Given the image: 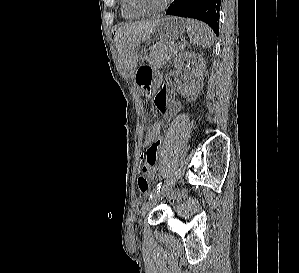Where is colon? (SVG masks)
<instances>
[{
    "label": "colon",
    "instance_id": "colon-1",
    "mask_svg": "<svg viewBox=\"0 0 299 273\" xmlns=\"http://www.w3.org/2000/svg\"><path fill=\"white\" fill-rule=\"evenodd\" d=\"M164 123L162 121L156 120L152 122L145 134V143H153L160 138L161 131L163 129ZM138 188L142 194L149 193V183L146 177L140 176L138 178ZM171 198L184 203H191L192 199L187 195L185 191H174L171 193Z\"/></svg>",
    "mask_w": 299,
    "mask_h": 273
}]
</instances>
